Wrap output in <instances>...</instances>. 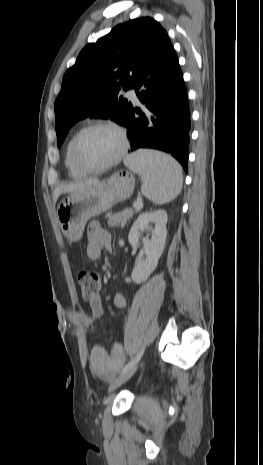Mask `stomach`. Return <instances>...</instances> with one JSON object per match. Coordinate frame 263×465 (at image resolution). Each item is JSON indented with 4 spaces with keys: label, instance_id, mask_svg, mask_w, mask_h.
<instances>
[{
    "label": "stomach",
    "instance_id": "0dacf381",
    "mask_svg": "<svg viewBox=\"0 0 263 465\" xmlns=\"http://www.w3.org/2000/svg\"><path fill=\"white\" fill-rule=\"evenodd\" d=\"M134 186L135 179L131 173L118 171L104 181L69 193L57 209L58 223L64 236L78 241L89 219L130 198Z\"/></svg>",
    "mask_w": 263,
    "mask_h": 465
}]
</instances>
